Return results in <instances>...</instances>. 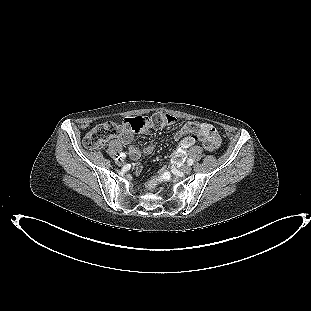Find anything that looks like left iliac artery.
Here are the masks:
<instances>
[{
    "mask_svg": "<svg viewBox=\"0 0 311 311\" xmlns=\"http://www.w3.org/2000/svg\"><path fill=\"white\" fill-rule=\"evenodd\" d=\"M187 163H188V165H192L194 163V161H193V159L190 158L187 160Z\"/></svg>",
    "mask_w": 311,
    "mask_h": 311,
    "instance_id": "1",
    "label": "left iliac artery"
}]
</instances>
